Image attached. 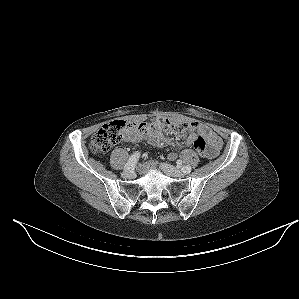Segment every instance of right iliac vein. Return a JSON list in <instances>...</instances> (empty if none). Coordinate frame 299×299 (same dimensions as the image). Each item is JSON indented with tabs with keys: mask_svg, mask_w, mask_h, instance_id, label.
<instances>
[{
	"mask_svg": "<svg viewBox=\"0 0 299 299\" xmlns=\"http://www.w3.org/2000/svg\"><path fill=\"white\" fill-rule=\"evenodd\" d=\"M133 176H134V173H133V171H130V170H125L122 173L123 178H132Z\"/></svg>",
	"mask_w": 299,
	"mask_h": 299,
	"instance_id": "1",
	"label": "right iliac vein"
}]
</instances>
